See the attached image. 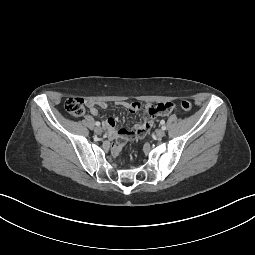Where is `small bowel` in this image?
<instances>
[{
  "mask_svg": "<svg viewBox=\"0 0 255 255\" xmlns=\"http://www.w3.org/2000/svg\"><path fill=\"white\" fill-rule=\"evenodd\" d=\"M119 105L127 108L131 112H135L140 104L137 102H119ZM90 113L93 116L98 114V109L96 106L105 108L107 106L106 102L95 103L93 101L88 102ZM179 110L178 102L173 99H166L163 103H148L145 105L146 121L138 125L135 130H128L125 128H118L116 125V120L113 116H109L106 120L107 135L110 139H115L116 143L113 146V151L115 153L119 152L123 147L124 143L131 138H142L152 127V120L156 119L159 115H166L170 113H176Z\"/></svg>",
  "mask_w": 255,
  "mask_h": 255,
  "instance_id": "obj_1",
  "label": "small bowel"
}]
</instances>
